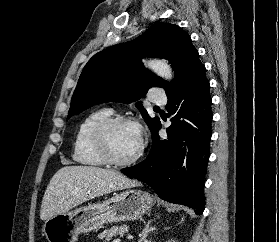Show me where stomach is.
Masks as SVG:
<instances>
[{"mask_svg":"<svg viewBox=\"0 0 279 242\" xmlns=\"http://www.w3.org/2000/svg\"><path fill=\"white\" fill-rule=\"evenodd\" d=\"M154 203L144 191L128 189L103 202L81 206L47 219L43 233L48 242H76L82 233L98 230L105 223L133 221L147 214Z\"/></svg>","mask_w":279,"mask_h":242,"instance_id":"1","label":"stomach"}]
</instances>
